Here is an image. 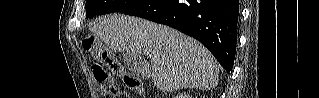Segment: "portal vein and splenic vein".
Listing matches in <instances>:
<instances>
[{
  "label": "portal vein and splenic vein",
  "mask_w": 319,
  "mask_h": 98,
  "mask_svg": "<svg viewBox=\"0 0 319 98\" xmlns=\"http://www.w3.org/2000/svg\"><path fill=\"white\" fill-rule=\"evenodd\" d=\"M144 54H145V55H148V54H149V52H148V51H145V52H144Z\"/></svg>",
  "instance_id": "18ae733b"
}]
</instances>
